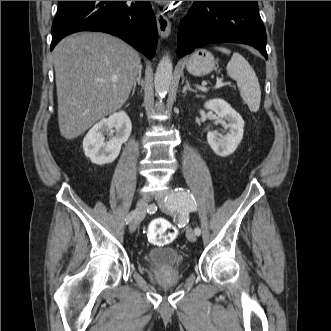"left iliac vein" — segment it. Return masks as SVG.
<instances>
[{
  "mask_svg": "<svg viewBox=\"0 0 331 331\" xmlns=\"http://www.w3.org/2000/svg\"><path fill=\"white\" fill-rule=\"evenodd\" d=\"M162 206H163V204H162ZM186 237L191 242H195L196 239H197V235H196L195 231L191 227H188L186 229Z\"/></svg>",
  "mask_w": 331,
  "mask_h": 331,
  "instance_id": "obj_1",
  "label": "left iliac vein"
}]
</instances>
